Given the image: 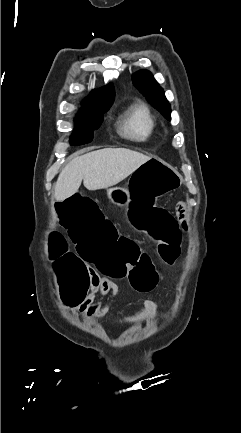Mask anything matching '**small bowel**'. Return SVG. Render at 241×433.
I'll return each instance as SVG.
<instances>
[{"label": "small bowel", "instance_id": "c3829d8e", "mask_svg": "<svg viewBox=\"0 0 241 433\" xmlns=\"http://www.w3.org/2000/svg\"><path fill=\"white\" fill-rule=\"evenodd\" d=\"M134 172H137L136 170ZM168 212V211H166ZM176 217H179L181 228L187 230L189 227L187 207L184 202H180L176 208ZM107 220V219H106ZM181 240V238H180ZM180 251V250H179ZM82 259V257H81ZM82 263L86 264L91 273L90 283L91 291L87 294V299L84 305H72L73 312L76 315L88 318L98 319L104 317L111 309L112 302L119 293L118 284L105 276L100 275L99 272L93 270L91 265H88L87 261ZM96 294H99V298H96ZM157 305L152 300H145L142 303L141 309L134 315L122 318L118 320L121 324L135 325L142 322H148L156 317Z\"/></svg>", "mask_w": 241, "mask_h": 433}]
</instances>
